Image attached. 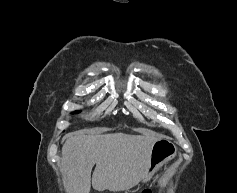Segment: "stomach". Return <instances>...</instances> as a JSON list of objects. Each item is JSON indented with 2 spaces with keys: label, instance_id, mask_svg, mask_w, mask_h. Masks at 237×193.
I'll return each mask as SVG.
<instances>
[{
  "label": "stomach",
  "instance_id": "0dacf381",
  "mask_svg": "<svg viewBox=\"0 0 237 193\" xmlns=\"http://www.w3.org/2000/svg\"><path fill=\"white\" fill-rule=\"evenodd\" d=\"M176 153L177 148L171 141L166 139L158 140L152 147L147 170L141 181H148L159 167L173 160Z\"/></svg>",
  "mask_w": 237,
  "mask_h": 193
}]
</instances>
